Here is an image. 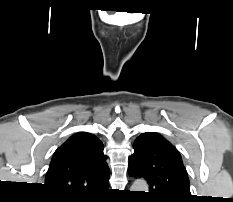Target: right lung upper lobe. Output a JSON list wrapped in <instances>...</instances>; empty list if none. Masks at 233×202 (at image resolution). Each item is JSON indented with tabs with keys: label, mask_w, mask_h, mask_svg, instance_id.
<instances>
[{
	"label": "right lung upper lobe",
	"mask_w": 233,
	"mask_h": 202,
	"mask_svg": "<svg viewBox=\"0 0 233 202\" xmlns=\"http://www.w3.org/2000/svg\"><path fill=\"white\" fill-rule=\"evenodd\" d=\"M103 143L94 135L79 132L54 153L46 186L57 195L86 198L107 189L110 175Z\"/></svg>",
	"instance_id": "1"
}]
</instances>
